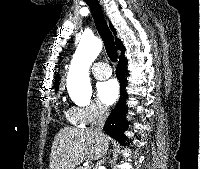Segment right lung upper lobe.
<instances>
[{
    "label": "right lung upper lobe",
    "mask_w": 200,
    "mask_h": 169,
    "mask_svg": "<svg viewBox=\"0 0 200 169\" xmlns=\"http://www.w3.org/2000/svg\"><path fill=\"white\" fill-rule=\"evenodd\" d=\"M110 28L112 29L113 33L116 34V30L113 28L112 24L110 23ZM115 43H116V47L118 50H120L122 52V54L120 55V58L123 57V53L125 52V47L123 46L122 42L120 39H115ZM58 86H59V77L58 75L55 77V89L58 90Z\"/></svg>",
    "instance_id": "obj_1"
}]
</instances>
